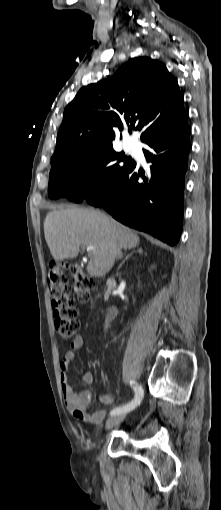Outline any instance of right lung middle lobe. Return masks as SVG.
<instances>
[{"mask_svg":"<svg viewBox=\"0 0 221 510\" xmlns=\"http://www.w3.org/2000/svg\"><path fill=\"white\" fill-rule=\"evenodd\" d=\"M134 163L111 144L72 151L51 166L49 197H67L76 203L91 199L115 184Z\"/></svg>","mask_w":221,"mask_h":510,"instance_id":"right-lung-middle-lobe-1","label":"right lung middle lobe"}]
</instances>
